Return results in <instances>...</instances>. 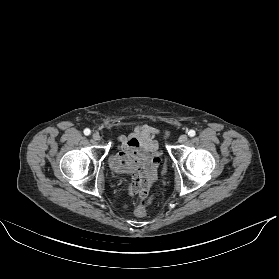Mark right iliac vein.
<instances>
[{
  "mask_svg": "<svg viewBox=\"0 0 279 279\" xmlns=\"http://www.w3.org/2000/svg\"><path fill=\"white\" fill-rule=\"evenodd\" d=\"M92 138H93V140H95V141H99V140L101 139V136H100L99 133H94V134L92 135Z\"/></svg>",
  "mask_w": 279,
  "mask_h": 279,
  "instance_id": "1",
  "label": "right iliac vein"
}]
</instances>
